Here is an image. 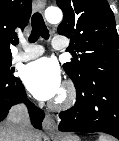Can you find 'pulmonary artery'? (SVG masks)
I'll use <instances>...</instances> for the list:
<instances>
[{
    "label": "pulmonary artery",
    "mask_w": 119,
    "mask_h": 141,
    "mask_svg": "<svg viewBox=\"0 0 119 141\" xmlns=\"http://www.w3.org/2000/svg\"><path fill=\"white\" fill-rule=\"evenodd\" d=\"M52 46L55 49H64L66 44L55 38L52 40ZM43 53L44 48L42 46L22 42L19 51L14 54L13 59L15 61H29L41 56Z\"/></svg>",
    "instance_id": "e3ab8cb5"
}]
</instances>
